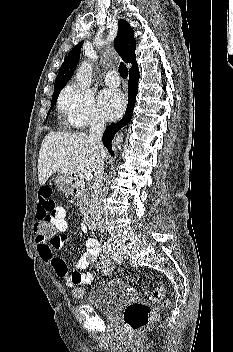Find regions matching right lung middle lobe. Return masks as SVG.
Instances as JSON below:
<instances>
[{"label": "right lung middle lobe", "instance_id": "dd1d6c3e", "mask_svg": "<svg viewBox=\"0 0 233 352\" xmlns=\"http://www.w3.org/2000/svg\"><path fill=\"white\" fill-rule=\"evenodd\" d=\"M62 90V88L54 90L53 96H52V100H51V108L49 109L48 115L51 111V109L53 108V106L56 104L57 98L59 96L60 91Z\"/></svg>", "mask_w": 233, "mask_h": 352}]
</instances>
